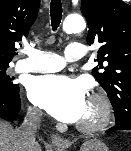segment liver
I'll return each instance as SVG.
<instances>
[{"mask_svg": "<svg viewBox=\"0 0 131 151\" xmlns=\"http://www.w3.org/2000/svg\"><path fill=\"white\" fill-rule=\"evenodd\" d=\"M24 149L12 125L0 120V151H25ZM36 151H41L38 143L36 145Z\"/></svg>", "mask_w": 131, "mask_h": 151, "instance_id": "6515ba94", "label": "liver"}]
</instances>
